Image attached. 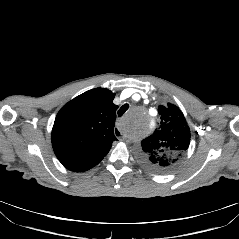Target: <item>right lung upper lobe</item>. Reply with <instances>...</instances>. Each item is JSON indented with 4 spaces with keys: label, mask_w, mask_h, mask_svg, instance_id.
I'll return each mask as SVG.
<instances>
[{
    "label": "right lung upper lobe",
    "mask_w": 239,
    "mask_h": 239,
    "mask_svg": "<svg viewBox=\"0 0 239 239\" xmlns=\"http://www.w3.org/2000/svg\"><path fill=\"white\" fill-rule=\"evenodd\" d=\"M115 94L105 88L89 90L64 105L52 129L53 150L64 167L83 172L97 165L116 140Z\"/></svg>",
    "instance_id": "obj_1"
}]
</instances>
